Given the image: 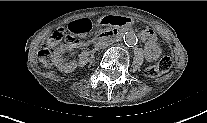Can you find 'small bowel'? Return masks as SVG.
I'll return each instance as SVG.
<instances>
[{"mask_svg":"<svg viewBox=\"0 0 207 123\" xmlns=\"http://www.w3.org/2000/svg\"><path fill=\"white\" fill-rule=\"evenodd\" d=\"M131 24V19L129 17H121V16H104L101 19V26H117V27H128ZM93 23L90 19H78L75 21H71L68 24V31L72 34L75 33H83L86 34L92 28ZM142 38L146 40L149 46L154 45L155 35L150 30H145L142 33ZM158 51L156 50L155 53ZM149 57L153 56V53H148Z\"/></svg>","mask_w":207,"mask_h":123,"instance_id":"small-bowel-1","label":"small bowel"}]
</instances>
